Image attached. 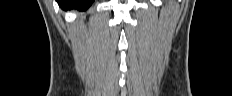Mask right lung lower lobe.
Wrapping results in <instances>:
<instances>
[{
	"mask_svg": "<svg viewBox=\"0 0 232 96\" xmlns=\"http://www.w3.org/2000/svg\"><path fill=\"white\" fill-rule=\"evenodd\" d=\"M62 9L78 8L81 10L87 9L93 0H57Z\"/></svg>",
	"mask_w": 232,
	"mask_h": 96,
	"instance_id": "obj_1",
	"label": "right lung lower lobe"
}]
</instances>
